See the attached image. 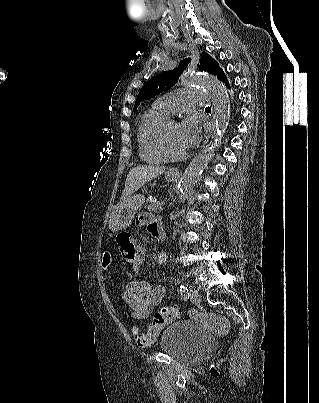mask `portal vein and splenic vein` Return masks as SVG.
Instances as JSON below:
<instances>
[{
  "label": "portal vein and splenic vein",
  "mask_w": 319,
  "mask_h": 403,
  "mask_svg": "<svg viewBox=\"0 0 319 403\" xmlns=\"http://www.w3.org/2000/svg\"><path fill=\"white\" fill-rule=\"evenodd\" d=\"M159 205H160V206H164V205H165V202H164V201H161V202H159Z\"/></svg>",
  "instance_id": "1"
}]
</instances>
